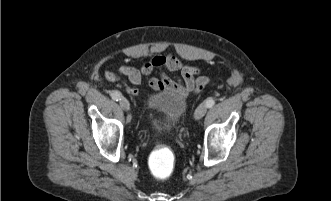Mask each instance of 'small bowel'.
<instances>
[{
    "label": "small bowel",
    "instance_id": "small-bowel-1",
    "mask_svg": "<svg viewBox=\"0 0 331 201\" xmlns=\"http://www.w3.org/2000/svg\"><path fill=\"white\" fill-rule=\"evenodd\" d=\"M155 72H158V76L154 75ZM168 72L179 73L180 77L173 80L168 76ZM198 73L197 68L183 64L173 55H156L144 62L140 69L124 64L117 72H106L105 77L109 81L125 78L130 84L127 86L128 93L132 96L138 94L137 86L141 84L143 76L147 78L149 86L155 91L171 89L186 96L196 88L198 80L195 76Z\"/></svg>",
    "mask_w": 331,
    "mask_h": 201
}]
</instances>
